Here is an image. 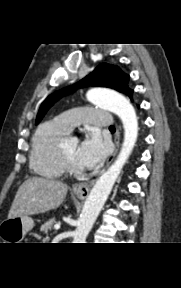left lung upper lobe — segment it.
Wrapping results in <instances>:
<instances>
[{
  "mask_svg": "<svg viewBox=\"0 0 181 288\" xmlns=\"http://www.w3.org/2000/svg\"><path fill=\"white\" fill-rule=\"evenodd\" d=\"M128 79L129 76L123 73L117 66L107 63L100 64L91 74L82 79L78 84L59 90L46 98L39 109L36 118V124L40 122V120L43 118L47 110L54 104V102H56L60 97L71 93L80 86L92 85L108 87L125 93L131 98L133 90H130L127 86Z\"/></svg>",
  "mask_w": 181,
  "mask_h": 288,
  "instance_id": "obj_1",
  "label": "left lung upper lobe"
}]
</instances>
